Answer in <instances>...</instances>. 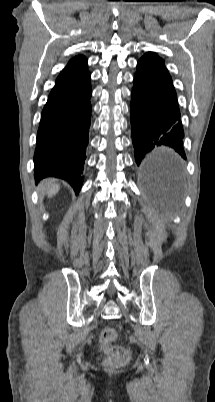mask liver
Segmentation results:
<instances>
[{"label":"liver","mask_w":215,"mask_h":402,"mask_svg":"<svg viewBox=\"0 0 215 402\" xmlns=\"http://www.w3.org/2000/svg\"><path fill=\"white\" fill-rule=\"evenodd\" d=\"M40 189L41 191H46L48 196L51 197L58 192L59 185L54 180H46L41 183Z\"/></svg>","instance_id":"liver-1"}]
</instances>
